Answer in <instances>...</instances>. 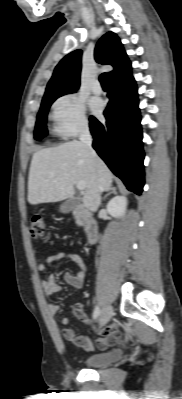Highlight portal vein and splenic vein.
<instances>
[{"mask_svg": "<svg viewBox=\"0 0 182 399\" xmlns=\"http://www.w3.org/2000/svg\"><path fill=\"white\" fill-rule=\"evenodd\" d=\"M77 188L80 191H83V190H85V184L83 182H79V183H77Z\"/></svg>", "mask_w": 182, "mask_h": 399, "instance_id": "1", "label": "portal vein and splenic vein"}]
</instances>
